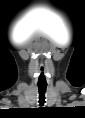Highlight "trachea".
I'll use <instances>...</instances> for the list:
<instances>
[{
    "label": "trachea",
    "instance_id": "3493384b",
    "mask_svg": "<svg viewBox=\"0 0 85 118\" xmlns=\"http://www.w3.org/2000/svg\"><path fill=\"white\" fill-rule=\"evenodd\" d=\"M45 88H39V103L42 105L45 102Z\"/></svg>",
    "mask_w": 85,
    "mask_h": 118
}]
</instances>
